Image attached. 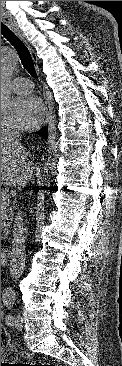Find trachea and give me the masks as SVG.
<instances>
[{"mask_svg": "<svg viewBox=\"0 0 122 366\" xmlns=\"http://www.w3.org/2000/svg\"><path fill=\"white\" fill-rule=\"evenodd\" d=\"M1 35L16 49L23 67L34 78H37V72L34 66L29 49L23 41L3 22H1Z\"/></svg>", "mask_w": 122, "mask_h": 366, "instance_id": "obj_1", "label": "trachea"}]
</instances>
